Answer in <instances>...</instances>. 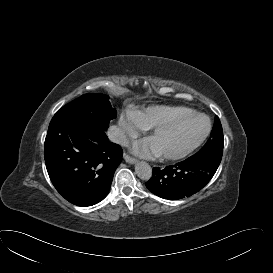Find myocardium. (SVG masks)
Listing matches in <instances>:
<instances>
[{"label": "myocardium", "mask_w": 273, "mask_h": 273, "mask_svg": "<svg viewBox=\"0 0 273 273\" xmlns=\"http://www.w3.org/2000/svg\"><path fill=\"white\" fill-rule=\"evenodd\" d=\"M193 117H201L203 119H205L206 121V127H205V130L203 132V134L200 136V138L195 142L193 143L191 146H189L188 148L184 149L183 151L181 152H177V153H163V152H158L157 150V154L162 157V158H165V159H178V158H181L187 154H189L190 152H192L194 149H196L198 146H200L204 141L205 139L207 138L210 130H211V121H210V118L202 113V112H197V111H190V112H187L185 114H182L181 116L175 118L174 120L168 122V123H164V124H161V125H158V126H155L147 135L146 137V140L148 142L151 141L152 137L162 131V130H166V129H169V128H172L178 124H180L181 122L187 120V119H190V118H193Z\"/></svg>", "instance_id": "f54148a6"}]
</instances>
